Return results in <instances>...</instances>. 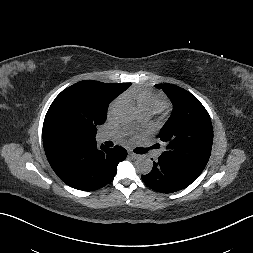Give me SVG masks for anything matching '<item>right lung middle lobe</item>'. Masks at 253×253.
I'll return each instance as SVG.
<instances>
[{
	"label": "right lung middle lobe",
	"mask_w": 253,
	"mask_h": 253,
	"mask_svg": "<svg viewBox=\"0 0 253 253\" xmlns=\"http://www.w3.org/2000/svg\"><path fill=\"white\" fill-rule=\"evenodd\" d=\"M131 83L102 86L91 92L67 88L51 104L43 124V137L62 146L95 140L97 126L105 122L109 103Z\"/></svg>",
	"instance_id": "1"
}]
</instances>
